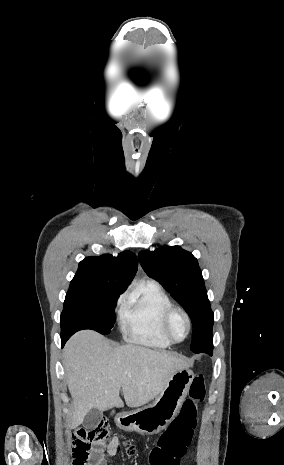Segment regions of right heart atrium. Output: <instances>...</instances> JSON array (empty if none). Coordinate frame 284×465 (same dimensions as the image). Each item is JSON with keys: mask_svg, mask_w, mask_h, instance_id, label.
Segmentation results:
<instances>
[{"mask_svg": "<svg viewBox=\"0 0 284 465\" xmlns=\"http://www.w3.org/2000/svg\"><path fill=\"white\" fill-rule=\"evenodd\" d=\"M128 299H129L128 294H126V293L122 294L117 300V305H122V304L126 303L128 301Z\"/></svg>", "mask_w": 284, "mask_h": 465, "instance_id": "d8ad5b80", "label": "right heart atrium"}]
</instances>
